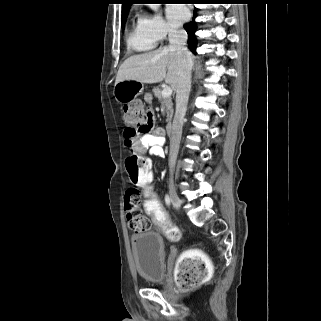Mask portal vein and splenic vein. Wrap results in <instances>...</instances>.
I'll use <instances>...</instances> for the list:
<instances>
[{"label":"portal vein and splenic vein","instance_id":"portal-vein-and-splenic-vein-1","mask_svg":"<svg viewBox=\"0 0 321 321\" xmlns=\"http://www.w3.org/2000/svg\"><path fill=\"white\" fill-rule=\"evenodd\" d=\"M172 94V89L169 86H166L163 90H162V96L163 97H170Z\"/></svg>","mask_w":321,"mask_h":321}]
</instances>
